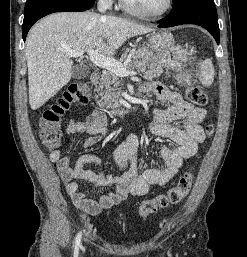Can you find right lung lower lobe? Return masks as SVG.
Returning a JSON list of instances; mask_svg holds the SVG:
<instances>
[{
  "label": "right lung lower lobe",
  "instance_id": "right-lung-lower-lobe-1",
  "mask_svg": "<svg viewBox=\"0 0 247 257\" xmlns=\"http://www.w3.org/2000/svg\"><path fill=\"white\" fill-rule=\"evenodd\" d=\"M95 0H27L24 9L22 36L25 41L31 26L54 12H81L90 9Z\"/></svg>",
  "mask_w": 247,
  "mask_h": 257
}]
</instances>
